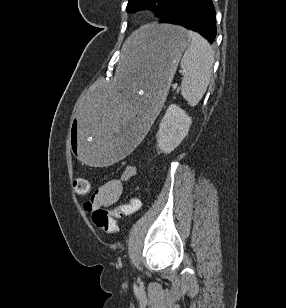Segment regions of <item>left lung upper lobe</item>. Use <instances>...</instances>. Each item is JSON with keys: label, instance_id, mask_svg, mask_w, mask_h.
<instances>
[{"label": "left lung upper lobe", "instance_id": "5c2ea615", "mask_svg": "<svg viewBox=\"0 0 286 308\" xmlns=\"http://www.w3.org/2000/svg\"><path fill=\"white\" fill-rule=\"evenodd\" d=\"M171 0H129L127 4V12H135L138 10H152L156 16L160 17L170 4Z\"/></svg>", "mask_w": 286, "mask_h": 308}]
</instances>
